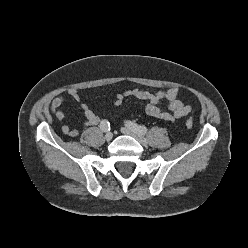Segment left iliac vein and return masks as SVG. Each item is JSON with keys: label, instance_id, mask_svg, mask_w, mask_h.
<instances>
[{"label": "left iliac vein", "instance_id": "1", "mask_svg": "<svg viewBox=\"0 0 248 248\" xmlns=\"http://www.w3.org/2000/svg\"><path fill=\"white\" fill-rule=\"evenodd\" d=\"M121 130L124 134L132 136L133 138H135L140 144H142L144 146L148 144L147 139L142 134H139V133L133 131L131 128L123 127Z\"/></svg>", "mask_w": 248, "mask_h": 248}]
</instances>
